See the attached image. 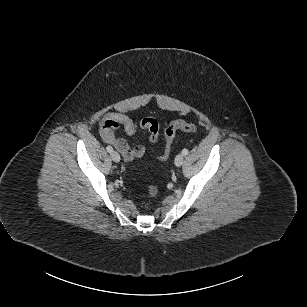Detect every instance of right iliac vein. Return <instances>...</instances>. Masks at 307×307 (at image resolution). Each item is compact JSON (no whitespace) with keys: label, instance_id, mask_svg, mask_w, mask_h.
Masks as SVG:
<instances>
[{"label":"right iliac vein","instance_id":"obj_1","mask_svg":"<svg viewBox=\"0 0 307 307\" xmlns=\"http://www.w3.org/2000/svg\"><path fill=\"white\" fill-rule=\"evenodd\" d=\"M111 158L114 162H119L120 161V155L116 151L111 152Z\"/></svg>","mask_w":307,"mask_h":307}]
</instances>
